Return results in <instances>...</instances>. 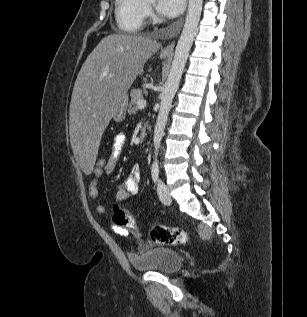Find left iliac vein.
I'll list each match as a JSON object with an SVG mask.
<instances>
[{"instance_id": "left-iliac-vein-1", "label": "left iliac vein", "mask_w": 307, "mask_h": 317, "mask_svg": "<svg viewBox=\"0 0 307 317\" xmlns=\"http://www.w3.org/2000/svg\"><path fill=\"white\" fill-rule=\"evenodd\" d=\"M157 193H158L160 201L163 204L169 205L171 203L172 199H171V196L169 193V189L165 185V183L161 180H159L158 185H157Z\"/></svg>"}]
</instances>
